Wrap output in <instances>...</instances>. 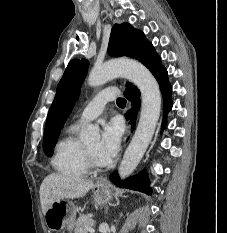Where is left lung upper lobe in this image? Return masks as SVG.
<instances>
[{
  "label": "left lung upper lobe",
  "instance_id": "5c2ea615",
  "mask_svg": "<svg viewBox=\"0 0 227 233\" xmlns=\"http://www.w3.org/2000/svg\"><path fill=\"white\" fill-rule=\"evenodd\" d=\"M108 54L115 57H131L143 63L155 76L164 66L153 45L140 30L130 24H115L111 30ZM88 61L85 59L71 60L61 78L54 101L47 116L43 149L47 156H52L58 140L74 103L80 93L81 84L87 74ZM136 88L127 84V90Z\"/></svg>",
  "mask_w": 227,
  "mask_h": 233
}]
</instances>
